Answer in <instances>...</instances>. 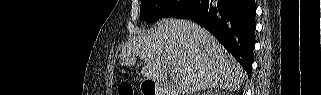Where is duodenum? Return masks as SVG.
Instances as JSON below:
<instances>
[{
	"label": "duodenum",
	"instance_id": "410a0bca",
	"mask_svg": "<svg viewBox=\"0 0 321 95\" xmlns=\"http://www.w3.org/2000/svg\"><path fill=\"white\" fill-rule=\"evenodd\" d=\"M155 95H161V92H159L158 90H156Z\"/></svg>",
	"mask_w": 321,
	"mask_h": 95
}]
</instances>
